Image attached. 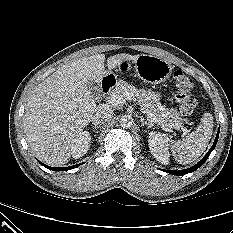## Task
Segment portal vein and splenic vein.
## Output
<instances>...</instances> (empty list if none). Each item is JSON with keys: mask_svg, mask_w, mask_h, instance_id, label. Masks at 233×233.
Instances as JSON below:
<instances>
[{"mask_svg": "<svg viewBox=\"0 0 233 233\" xmlns=\"http://www.w3.org/2000/svg\"><path fill=\"white\" fill-rule=\"evenodd\" d=\"M126 99L132 100L134 98L130 93L124 92L123 95H121V96L112 95L111 97L108 98V102L112 106H120L121 104H123L125 102ZM141 111L143 113H145V111L142 108H141ZM148 117L151 119L152 122H155L159 125L164 126V123L161 120H158L157 118H155L153 115H149ZM168 127H171V128L177 129V130L182 129L184 134H187L189 132L186 127H184L183 125H180V124H169Z\"/></svg>", "mask_w": 233, "mask_h": 233, "instance_id": "portal-vein-and-splenic-vein-1", "label": "portal vein and splenic vein"}]
</instances>
